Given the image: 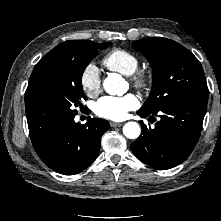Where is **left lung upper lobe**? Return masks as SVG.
Wrapping results in <instances>:
<instances>
[{"instance_id":"left-lung-upper-lobe-1","label":"left lung upper lobe","mask_w":221,"mask_h":221,"mask_svg":"<svg viewBox=\"0 0 221 221\" xmlns=\"http://www.w3.org/2000/svg\"><path fill=\"white\" fill-rule=\"evenodd\" d=\"M153 69V87L145 104L140 108L155 113L179 100L208 101V88L199 60L179 43L152 37L133 42Z\"/></svg>"}]
</instances>
